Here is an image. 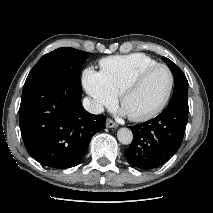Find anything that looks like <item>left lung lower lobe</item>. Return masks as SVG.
Masks as SVG:
<instances>
[{
	"label": "left lung lower lobe",
	"mask_w": 213,
	"mask_h": 213,
	"mask_svg": "<svg viewBox=\"0 0 213 213\" xmlns=\"http://www.w3.org/2000/svg\"><path fill=\"white\" fill-rule=\"evenodd\" d=\"M188 119V106L170 104L157 117L129 127L133 143L124 154L139 169H152L164 164L180 147Z\"/></svg>",
	"instance_id": "0a47b994"
}]
</instances>
